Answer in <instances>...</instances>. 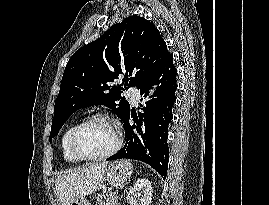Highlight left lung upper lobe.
Masks as SVG:
<instances>
[{"label": "left lung upper lobe", "mask_w": 269, "mask_h": 205, "mask_svg": "<svg viewBox=\"0 0 269 205\" xmlns=\"http://www.w3.org/2000/svg\"><path fill=\"white\" fill-rule=\"evenodd\" d=\"M169 54L159 30L139 16L114 24L99 39L80 48L69 59L62 77L50 142L68 117L86 106L104 105L123 120L130 105L121 93L146 85ZM119 75L126 78L116 85Z\"/></svg>", "instance_id": "obj_1"}]
</instances>
